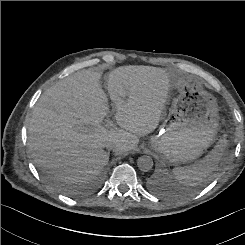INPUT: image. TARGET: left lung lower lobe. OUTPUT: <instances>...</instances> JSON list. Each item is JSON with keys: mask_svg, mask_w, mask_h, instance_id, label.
<instances>
[{"mask_svg": "<svg viewBox=\"0 0 245 245\" xmlns=\"http://www.w3.org/2000/svg\"><path fill=\"white\" fill-rule=\"evenodd\" d=\"M151 190L165 197H175L182 193L183 186L178 181H165L158 176H153L148 181Z\"/></svg>", "mask_w": 245, "mask_h": 245, "instance_id": "obj_1", "label": "left lung lower lobe"}]
</instances>
